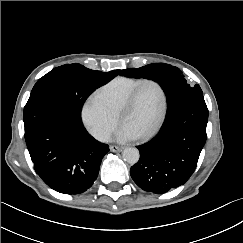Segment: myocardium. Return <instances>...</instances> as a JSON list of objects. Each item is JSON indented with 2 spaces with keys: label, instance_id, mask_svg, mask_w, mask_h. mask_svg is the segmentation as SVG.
Returning <instances> with one entry per match:
<instances>
[{
  "label": "myocardium",
  "instance_id": "myocardium-1",
  "mask_svg": "<svg viewBox=\"0 0 243 243\" xmlns=\"http://www.w3.org/2000/svg\"><path fill=\"white\" fill-rule=\"evenodd\" d=\"M146 83H154L158 86V88L161 91V95H162V104H161L160 111H159L155 121L153 122V124L150 126L149 129H147L145 132L138 135V137H140V138H146V137L150 136L152 133H154V131L158 128L159 124L161 123V121L165 115L168 99H167V93H166V90H165L163 84L159 80L154 79V78L143 79L131 91L129 96L126 98L125 102L122 104L119 114H118L119 120H120V122H122L124 115L133 107L140 88Z\"/></svg>",
  "mask_w": 243,
  "mask_h": 243
}]
</instances>
